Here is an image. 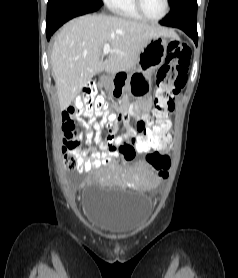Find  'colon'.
I'll return each instance as SVG.
<instances>
[{
  "label": "colon",
  "mask_w": 238,
  "mask_h": 278,
  "mask_svg": "<svg viewBox=\"0 0 238 278\" xmlns=\"http://www.w3.org/2000/svg\"><path fill=\"white\" fill-rule=\"evenodd\" d=\"M190 49L181 42L172 41L167 46V55L164 64L156 74V90L153 97L152 116L154 123L151 125L145 137L119 138L118 145L122 147L125 159L134 156H146L147 162L166 178L170 161L166 155L154 152V149H167V141L164 137L169 134L171 128L170 115L174 110V98L178 95L186 83L187 67L190 61ZM106 99L99 95L95 85H87L78 94L71 108L72 112H96L104 111ZM67 135L64 142V165L67 170L78 169V155L82 152L79 142L74 138L79 134L72 120L66 121L62 126ZM105 146H114V141L108 138ZM128 146V147H127Z\"/></svg>",
  "instance_id": "colon-1"
}]
</instances>
